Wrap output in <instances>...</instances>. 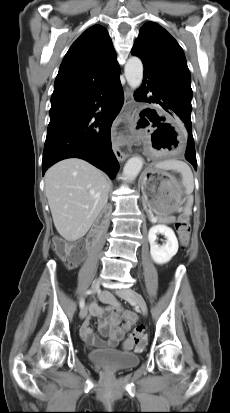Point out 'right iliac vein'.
I'll list each match as a JSON object with an SVG mask.
<instances>
[{
  "mask_svg": "<svg viewBox=\"0 0 230 413\" xmlns=\"http://www.w3.org/2000/svg\"><path fill=\"white\" fill-rule=\"evenodd\" d=\"M99 287H100V279H95L91 285L92 292L95 293L99 289ZM87 312H88V307L87 306L83 307L79 314L80 318L84 319L87 315Z\"/></svg>",
  "mask_w": 230,
  "mask_h": 413,
  "instance_id": "right-iliac-vein-1",
  "label": "right iliac vein"
}]
</instances>
